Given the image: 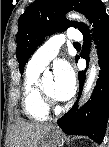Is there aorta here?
<instances>
[{
  "mask_svg": "<svg viewBox=\"0 0 109 147\" xmlns=\"http://www.w3.org/2000/svg\"><path fill=\"white\" fill-rule=\"evenodd\" d=\"M67 17L72 20H79V21L87 22L84 17H82L81 15H79L77 13H69L67 15ZM97 75H98V68H97L96 58L93 57L91 59L89 75H88L87 81L85 83L82 100H85L87 98L88 94L90 93V91L94 85V82L97 78Z\"/></svg>",
  "mask_w": 109,
  "mask_h": 147,
  "instance_id": "1",
  "label": "aorta"
}]
</instances>
